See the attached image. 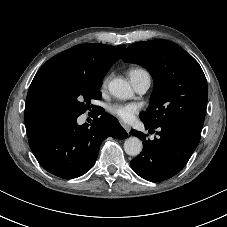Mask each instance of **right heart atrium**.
<instances>
[{
	"mask_svg": "<svg viewBox=\"0 0 227 227\" xmlns=\"http://www.w3.org/2000/svg\"><path fill=\"white\" fill-rule=\"evenodd\" d=\"M109 79L110 77L109 76H106L103 81H102V88H106L107 85H108V82H109Z\"/></svg>",
	"mask_w": 227,
	"mask_h": 227,
	"instance_id": "d8ad5b80",
	"label": "right heart atrium"
}]
</instances>
